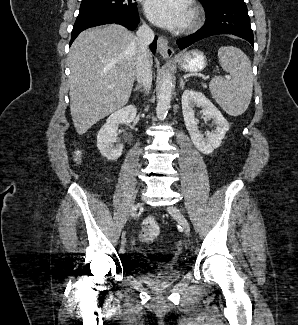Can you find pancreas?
Masks as SVG:
<instances>
[{
	"label": "pancreas",
	"instance_id": "1",
	"mask_svg": "<svg viewBox=\"0 0 298 325\" xmlns=\"http://www.w3.org/2000/svg\"><path fill=\"white\" fill-rule=\"evenodd\" d=\"M203 88H207V84H202Z\"/></svg>",
	"mask_w": 298,
	"mask_h": 325
}]
</instances>
